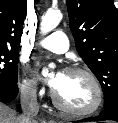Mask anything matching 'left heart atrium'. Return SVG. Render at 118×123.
<instances>
[{
	"mask_svg": "<svg viewBox=\"0 0 118 123\" xmlns=\"http://www.w3.org/2000/svg\"><path fill=\"white\" fill-rule=\"evenodd\" d=\"M63 77H64V72L59 71L52 78L48 79L47 83L52 89L56 90L62 83Z\"/></svg>",
	"mask_w": 118,
	"mask_h": 123,
	"instance_id": "39dd6f15",
	"label": "left heart atrium"
}]
</instances>
